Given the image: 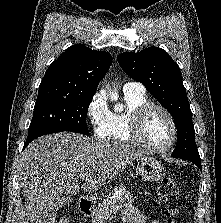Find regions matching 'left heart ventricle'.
Returning <instances> with one entry per match:
<instances>
[{"label":"left heart ventricle","mask_w":221,"mask_h":223,"mask_svg":"<svg viewBox=\"0 0 221 223\" xmlns=\"http://www.w3.org/2000/svg\"><path fill=\"white\" fill-rule=\"evenodd\" d=\"M142 136L155 146L168 144L172 137V129L166 115L159 110H152L145 118Z\"/></svg>","instance_id":"b2bd125f"}]
</instances>
